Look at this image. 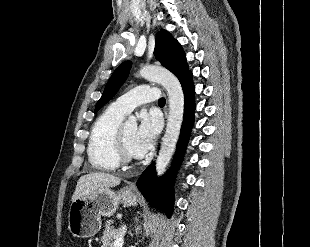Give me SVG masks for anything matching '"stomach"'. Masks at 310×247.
<instances>
[{
  "mask_svg": "<svg viewBox=\"0 0 310 247\" xmlns=\"http://www.w3.org/2000/svg\"><path fill=\"white\" fill-rule=\"evenodd\" d=\"M138 195L128 187L119 191L101 188L89 196L73 200L68 212V229L79 238H89L97 234L102 225L101 217L112 216L118 206H135Z\"/></svg>",
  "mask_w": 310,
  "mask_h": 247,
  "instance_id": "obj_1",
  "label": "stomach"
}]
</instances>
